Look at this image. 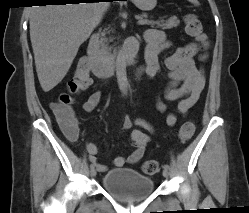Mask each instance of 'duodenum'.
Instances as JSON below:
<instances>
[{"instance_id":"duodenum-1","label":"duodenum","mask_w":249,"mask_h":213,"mask_svg":"<svg viewBox=\"0 0 249 213\" xmlns=\"http://www.w3.org/2000/svg\"><path fill=\"white\" fill-rule=\"evenodd\" d=\"M138 46L139 43L136 38L129 39L120 54V62L126 64L134 63L137 56ZM84 60L92 72L99 78L112 76L118 65V63L112 62L101 55L98 34H93L90 37L87 54Z\"/></svg>"}]
</instances>
